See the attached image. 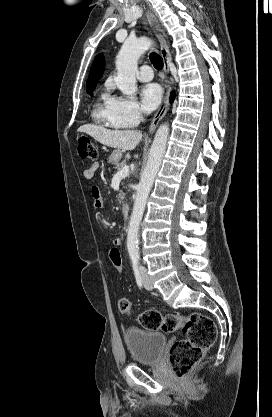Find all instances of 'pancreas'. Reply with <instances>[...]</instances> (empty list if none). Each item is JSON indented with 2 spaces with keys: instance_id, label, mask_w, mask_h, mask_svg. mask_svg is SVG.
<instances>
[{
  "instance_id": "obj_1",
  "label": "pancreas",
  "mask_w": 272,
  "mask_h": 417,
  "mask_svg": "<svg viewBox=\"0 0 272 417\" xmlns=\"http://www.w3.org/2000/svg\"><path fill=\"white\" fill-rule=\"evenodd\" d=\"M130 159L129 155L125 156V159L123 161H121L120 163L116 164L115 169L117 171H120L124 166H126L127 161ZM118 201L121 203L124 199V193L122 191H120V193L117 196Z\"/></svg>"
}]
</instances>
